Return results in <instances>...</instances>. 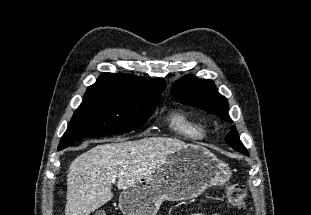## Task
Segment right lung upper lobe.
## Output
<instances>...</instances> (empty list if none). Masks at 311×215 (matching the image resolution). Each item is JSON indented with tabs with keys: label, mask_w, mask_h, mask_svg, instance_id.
<instances>
[{
	"label": "right lung upper lobe",
	"mask_w": 311,
	"mask_h": 215,
	"mask_svg": "<svg viewBox=\"0 0 311 215\" xmlns=\"http://www.w3.org/2000/svg\"><path fill=\"white\" fill-rule=\"evenodd\" d=\"M166 87L164 79H148L127 74L103 73L87 94L103 93L139 99L160 98Z\"/></svg>",
	"instance_id": "obj_1"
}]
</instances>
